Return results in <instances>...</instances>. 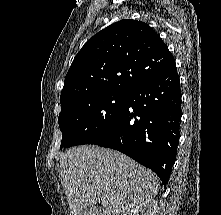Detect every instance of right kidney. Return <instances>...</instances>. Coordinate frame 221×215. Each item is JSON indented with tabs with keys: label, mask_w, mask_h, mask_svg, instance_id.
Listing matches in <instances>:
<instances>
[{
	"label": "right kidney",
	"mask_w": 221,
	"mask_h": 215,
	"mask_svg": "<svg viewBox=\"0 0 221 215\" xmlns=\"http://www.w3.org/2000/svg\"><path fill=\"white\" fill-rule=\"evenodd\" d=\"M157 207V201L149 198L131 209L128 215H155Z\"/></svg>",
	"instance_id": "obj_1"
}]
</instances>
